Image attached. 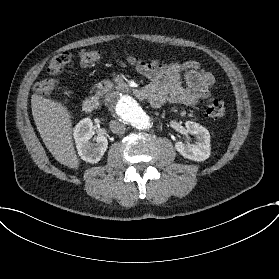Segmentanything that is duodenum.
<instances>
[{
    "label": "duodenum",
    "instance_id": "obj_1",
    "mask_svg": "<svg viewBox=\"0 0 279 279\" xmlns=\"http://www.w3.org/2000/svg\"><path fill=\"white\" fill-rule=\"evenodd\" d=\"M113 91L115 93H132L137 99H148V92L145 89L132 91L127 85H117ZM97 107V100L95 97H87L82 105L83 111L87 114L92 113Z\"/></svg>",
    "mask_w": 279,
    "mask_h": 279
}]
</instances>
